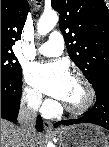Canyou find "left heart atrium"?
<instances>
[{
    "mask_svg": "<svg viewBox=\"0 0 109 147\" xmlns=\"http://www.w3.org/2000/svg\"><path fill=\"white\" fill-rule=\"evenodd\" d=\"M26 80L43 93L57 99H62L70 75L63 63L31 64L25 71Z\"/></svg>",
    "mask_w": 109,
    "mask_h": 147,
    "instance_id": "1",
    "label": "left heart atrium"
}]
</instances>
